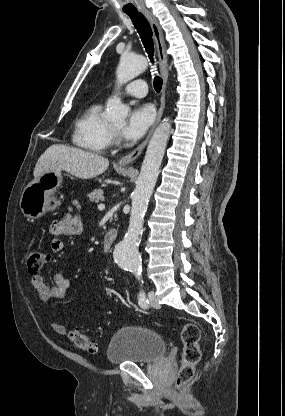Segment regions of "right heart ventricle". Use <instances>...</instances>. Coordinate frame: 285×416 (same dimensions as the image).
I'll return each mask as SVG.
<instances>
[{"mask_svg":"<svg viewBox=\"0 0 285 416\" xmlns=\"http://www.w3.org/2000/svg\"><path fill=\"white\" fill-rule=\"evenodd\" d=\"M101 105H88L75 123L72 141L75 146L91 154H101L110 145L109 124L102 117Z\"/></svg>","mask_w":285,"mask_h":416,"instance_id":"e07e8e85","label":"right heart ventricle"}]
</instances>
